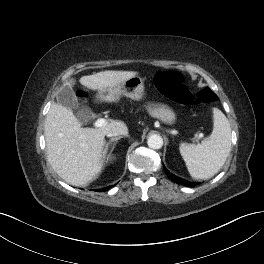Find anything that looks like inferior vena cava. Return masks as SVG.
I'll return each instance as SVG.
<instances>
[{"label": "inferior vena cava", "instance_id": "obj_1", "mask_svg": "<svg viewBox=\"0 0 264 264\" xmlns=\"http://www.w3.org/2000/svg\"><path fill=\"white\" fill-rule=\"evenodd\" d=\"M128 132L124 131V130H119V131H109L107 132V137H116V136H120V135H127Z\"/></svg>", "mask_w": 264, "mask_h": 264}]
</instances>
